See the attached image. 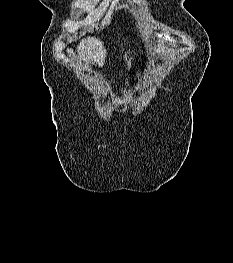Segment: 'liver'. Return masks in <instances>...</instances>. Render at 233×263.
Listing matches in <instances>:
<instances>
[{
    "instance_id": "obj_1",
    "label": "liver",
    "mask_w": 233,
    "mask_h": 263,
    "mask_svg": "<svg viewBox=\"0 0 233 263\" xmlns=\"http://www.w3.org/2000/svg\"><path fill=\"white\" fill-rule=\"evenodd\" d=\"M77 50V62H83L85 69L94 61H98L99 65L103 66L107 52L103 46V42L99 39L87 37L79 43Z\"/></svg>"
}]
</instances>
